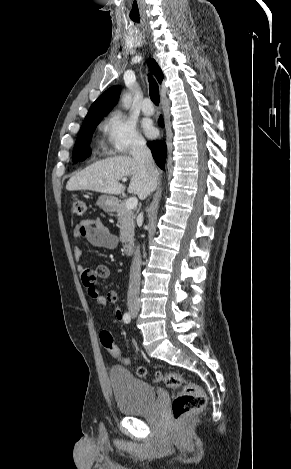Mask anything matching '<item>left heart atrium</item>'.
Returning a JSON list of instances; mask_svg holds the SVG:
<instances>
[{
	"mask_svg": "<svg viewBox=\"0 0 291 469\" xmlns=\"http://www.w3.org/2000/svg\"><path fill=\"white\" fill-rule=\"evenodd\" d=\"M144 130H145V133L147 134V136H149V137H153L155 135V129L152 126L151 123L145 124Z\"/></svg>",
	"mask_w": 291,
	"mask_h": 469,
	"instance_id": "obj_1",
	"label": "left heart atrium"
}]
</instances>
